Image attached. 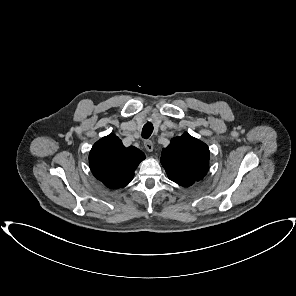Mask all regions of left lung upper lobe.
I'll list each match as a JSON object with an SVG mask.
<instances>
[{
  "label": "left lung upper lobe",
  "mask_w": 296,
  "mask_h": 296,
  "mask_svg": "<svg viewBox=\"0 0 296 296\" xmlns=\"http://www.w3.org/2000/svg\"><path fill=\"white\" fill-rule=\"evenodd\" d=\"M209 158L208 146L184 132L163 148L161 163L170 180L189 187L204 178L209 169Z\"/></svg>",
  "instance_id": "left-lung-upper-lobe-1"
}]
</instances>
